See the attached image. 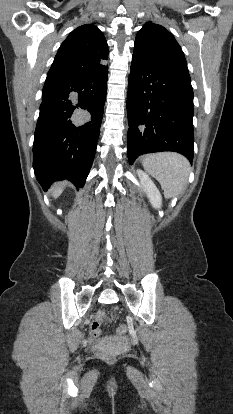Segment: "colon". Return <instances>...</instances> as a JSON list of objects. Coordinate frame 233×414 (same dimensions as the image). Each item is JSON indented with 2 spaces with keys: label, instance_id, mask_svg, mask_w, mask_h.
Wrapping results in <instances>:
<instances>
[{
  "label": "colon",
  "instance_id": "1",
  "mask_svg": "<svg viewBox=\"0 0 233 414\" xmlns=\"http://www.w3.org/2000/svg\"><path fill=\"white\" fill-rule=\"evenodd\" d=\"M105 318H106L105 312H99L96 318L91 323L90 333L94 338H97L101 335V324ZM127 332H128V327L125 324H121L118 326L117 333L119 335H125Z\"/></svg>",
  "mask_w": 233,
  "mask_h": 414
}]
</instances>
